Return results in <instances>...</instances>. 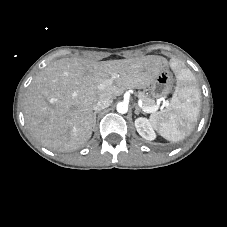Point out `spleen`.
<instances>
[{
  "label": "spleen",
  "mask_w": 227,
  "mask_h": 227,
  "mask_svg": "<svg viewBox=\"0 0 227 227\" xmlns=\"http://www.w3.org/2000/svg\"><path fill=\"white\" fill-rule=\"evenodd\" d=\"M177 74L178 85L170 108L150 117L152 126L168 141L178 142L191 133L200 112V91L194 84L195 77L178 61H171Z\"/></svg>",
  "instance_id": "1"
}]
</instances>
